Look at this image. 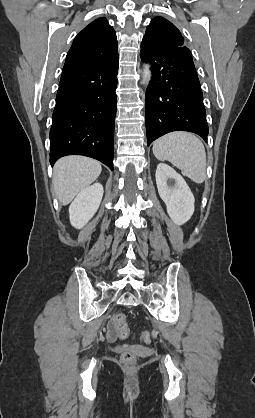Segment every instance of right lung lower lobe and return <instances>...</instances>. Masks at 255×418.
Returning <instances> with one entry per match:
<instances>
[{
    "instance_id": "obj_1",
    "label": "right lung lower lobe",
    "mask_w": 255,
    "mask_h": 418,
    "mask_svg": "<svg viewBox=\"0 0 255 418\" xmlns=\"http://www.w3.org/2000/svg\"><path fill=\"white\" fill-rule=\"evenodd\" d=\"M118 59L62 73L50 130V163L85 155L113 170Z\"/></svg>"
}]
</instances>
